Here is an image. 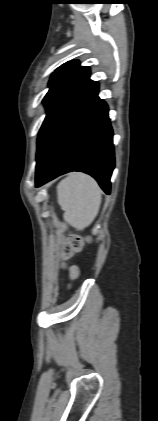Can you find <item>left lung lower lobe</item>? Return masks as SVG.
Listing matches in <instances>:
<instances>
[{
    "instance_id": "obj_1",
    "label": "left lung lower lobe",
    "mask_w": 158,
    "mask_h": 421,
    "mask_svg": "<svg viewBox=\"0 0 158 421\" xmlns=\"http://www.w3.org/2000/svg\"><path fill=\"white\" fill-rule=\"evenodd\" d=\"M113 132L98 83L89 80L65 104L38 139L36 186L71 171L93 176L110 193Z\"/></svg>"
}]
</instances>
